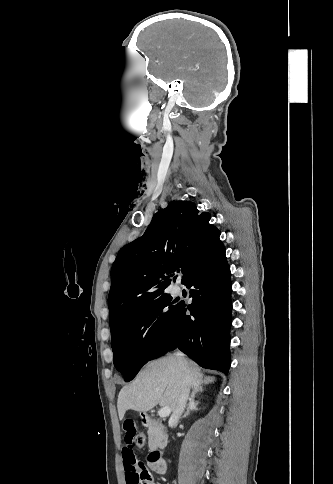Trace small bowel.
I'll use <instances>...</instances> for the list:
<instances>
[{"instance_id":"1","label":"small bowel","mask_w":333,"mask_h":484,"mask_svg":"<svg viewBox=\"0 0 333 484\" xmlns=\"http://www.w3.org/2000/svg\"><path fill=\"white\" fill-rule=\"evenodd\" d=\"M122 428L124 431L122 459L126 484H157L152 474L135 454L133 442L137 435L136 422L132 418H125Z\"/></svg>"}]
</instances>
